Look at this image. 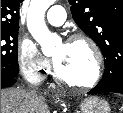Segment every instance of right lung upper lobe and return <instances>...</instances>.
Masks as SVG:
<instances>
[{
	"instance_id": "cb5924a9",
	"label": "right lung upper lobe",
	"mask_w": 123,
	"mask_h": 113,
	"mask_svg": "<svg viewBox=\"0 0 123 113\" xmlns=\"http://www.w3.org/2000/svg\"><path fill=\"white\" fill-rule=\"evenodd\" d=\"M22 0H1V30L19 29V6Z\"/></svg>"
}]
</instances>
